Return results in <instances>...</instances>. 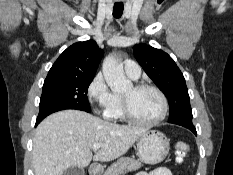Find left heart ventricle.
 I'll return each instance as SVG.
<instances>
[{"mask_svg": "<svg viewBox=\"0 0 233 175\" xmlns=\"http://www.w3.org/2000/svg\"><path fill=\"white\" fill-rule=\"evenodd\" d=\"M122 96L128 99L133 114L141 120H153L161 114L162 102L153 90L135 91L131 87Z\"/></svg>", "mask_w": 233, "mask_h": 175, "instance_id": "b2bd125f", "label": "left heart ventricle"}]
</instances>
